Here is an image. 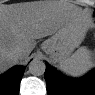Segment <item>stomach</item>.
<instances>
[{"instance_id":"0dacf381","label":"stomach","mask_w":95,"mask_h":95,"mask_svg":"<svg viewBox=\"0 0 95 95\" xmlns=\"http://www.w3.org/2000/svg\"><path fill=\"white\" fill-rule=\"evenodd\" d=\"M86 31L82 22L70 20L42 44V49L55 63L66 59L80 46Z\"/></svg>"}]
</instances>
